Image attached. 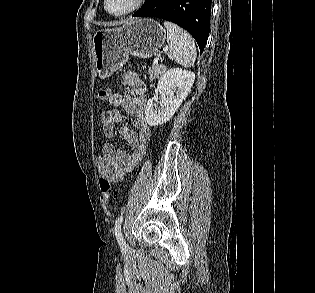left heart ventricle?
<instances>
[{
	"mask_svg": "<svg viewBox=\"0 0 315 293\" xmlns=\"http://www.w3.org/2000/svg\"><path fill=\"white\" fill-rule=\"evenodd\" d=\"M134 0H108L107 8L112 13H121L133 4Z\"/></svg>",
	"mask_w": 315,
	"mask_h": 293,
	"instance_id": "left-heart-ventricle-1",
	"label": "left heart ventricle"
}]
</instances>
